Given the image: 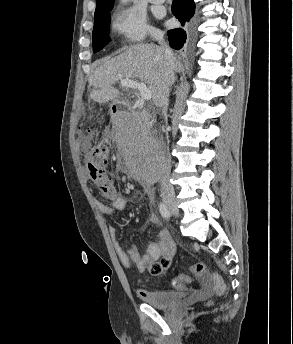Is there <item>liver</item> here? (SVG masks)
<instances>
[{
  "mask_svg": "<svg viewBox=\"0 0 293 344\" xmlns=\"http://www.w3.org/2000/svg\"><path fill=\"white\" fill-rule=\"evenodd\" d=\"M164 64L163 47L155 44L134 45L103 63L89 77V84L95 88L90 99L98 103L116 102L120 91L113 85L122 79H139L147 84L156 104L164 83ZM182 69L180 59L174 56L173 72H181Z\"/></svg>",
  "mask_w": 293,
  "mask_h": 344,
  "instance_id": "1",
  "label": "liver"
}]
</instances>
